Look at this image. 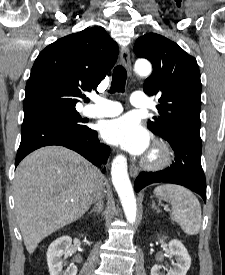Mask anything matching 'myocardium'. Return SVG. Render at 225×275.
<instances>
[{"instance_id":"f54148a6","label":"myocardium","mask_w":225,"mask_h":275,"mask_svg":"<svg viewBox=\"0 0 225 275\" xmlns=\"http://www.w3.org/2000/svg\"><path fill=\"white\" fill-rule=\"evenodd\" d=\"M173 159V151L170 146L162 141L156 140L142 161L146 170L157 171L167 167Z\"/></svg>"}]
</instances>
